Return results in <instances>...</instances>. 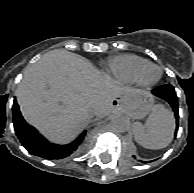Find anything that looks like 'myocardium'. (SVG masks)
<instances>
[{"instance_id":"1","label":"myocardium","mask_w":194,"mask_h":193,"mask_svg":"<svg viewBox=\"0 0 194 193\" xmlns=\"http://www.w3.org/2000/svg\"><path fill=\"white\" fill-rule=\"evenodd\" d=\"M150 68H154L158 71V74L154 79H146L145 78V73ZM161 76H162L161 67L154 64V63L149 62V63H146L145 65H143L142 67H140V69L138 70L137 82L145 87H151L159 82V80L161 79Z\"/></svg>"}]
</instances>
